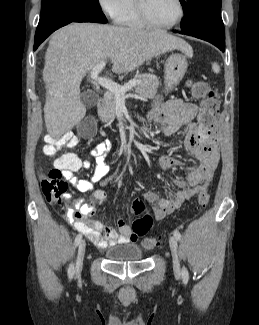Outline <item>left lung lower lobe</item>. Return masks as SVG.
<instances>
[{"label": "left lung lower lobe", "instance_id": "0a47b994", "mask_svg": "<svg viewBox=\"0 0 259 325\" xmlns=\"http://www.w3.org/2000/svg\"><path fill=\"white\" fill-rule=\"evenodd\" d=\"M180 33L208 41L222 52L225 50V30L221 16H210L201 19L191 28L182 30Z\"/></svg>", "mask_w": 259, "mask_h": 325}]
</instances>
